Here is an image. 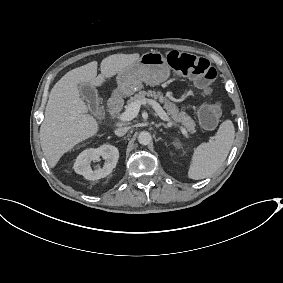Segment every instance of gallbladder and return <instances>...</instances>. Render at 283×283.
<instances>
[{
	"instance_id": "bac80fb5",
	"label": "gallbladder",
	"mask_w": 283,
	"mask_h": 283,
	"mask_svg": "<svg viewBox=\"0 0 283 283\" xmlns=\"http://www.w3.org/2000/svg\"><path fill=\"white\" fill-rule=\"evenodd\" d=\"M80 92L83 96H85L88 98L89 103L92 104V109L93 110H100L101 109V102L98 101V95L95 93L94 89H91L89 86L86 85H80Z\"/></svg>"
}]
</instances>
